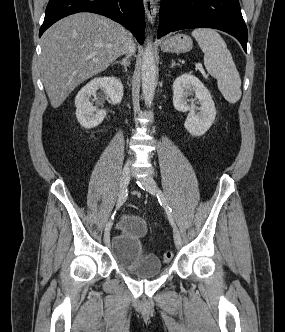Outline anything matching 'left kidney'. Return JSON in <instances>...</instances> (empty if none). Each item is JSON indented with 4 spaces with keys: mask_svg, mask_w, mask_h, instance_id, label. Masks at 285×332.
Instances as JSON below:
<instances>
[{
    "mask_svg": "<svg viewBox=\"0 0 285 332\" xmlns=\"http://www.w3.org/2000/svg\"><path fill=\"white\" fill-rule=\"evenodd\" d=\"M192 93H195V99L201 105L198 113L195 111L194 104H187V97ZM173 105L177 111H189L184 127L194 136L205 134L216 117L215 104L210 92L197 77L190 73H184L175 79L173 83Z\"/></svg>",
    "mask_w": 285,
    "mask_h": 332,
    "instance_id": "1",
    "label": "left kidney"
}]
</instances>
